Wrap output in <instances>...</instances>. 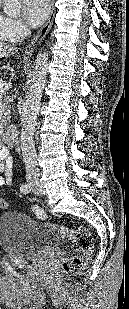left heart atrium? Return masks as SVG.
Returning <instances> with one entry per match:
<instances>
[{"instance_id":"left-heart-atrium-1","label":"left heart atrium","mask_w":129,"mask_h":309,"mask_svg":"<svg viewBox=\"0 0 129 309\" xmlns=\"http://www.w3.org/2000/svg\"><path fill=\"white\" fill-rule=\"evenodd\" d=\"M50 11L49 0H24L23 16L31 27L44 22Z\"/></svg>"}]
</instances>
